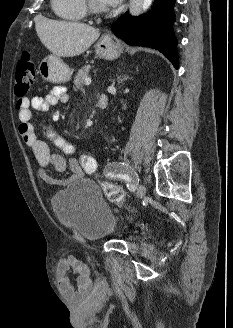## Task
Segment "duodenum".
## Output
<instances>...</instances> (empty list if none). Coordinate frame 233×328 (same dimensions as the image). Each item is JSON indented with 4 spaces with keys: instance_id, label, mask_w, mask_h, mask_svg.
<instances>
[{
    "instance_id": "1",
    "label": "duodenum",
    "mask_w": 233,
    "mask_h": 328,
    "mask_svg": "<svg viewBox=\"0 0 233 328\" xmlns=\"http://www.w3.org/2000/svg\"><path fill=\"white\" fill-rule=\"evenodd\" d=\"M108 105V98L106 95L104 94H101L98 98V101H97V106L100 108V109H105Z\"/></svg>"
}]
</instances>
